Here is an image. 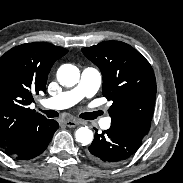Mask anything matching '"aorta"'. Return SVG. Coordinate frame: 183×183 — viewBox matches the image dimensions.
<instances>
[{
  "mask_svg": "<svg viewBox=\"0 0 183 183\" xmlns=\"http://www.w3.org/2000/svg\"><path fill=\"white\" fill-rule=\"evenodd\" d=\"M79 69L71 64L60 66L57 71V80L62 86L72 87L79 82ZM76 141L88 145L93 140V132L88 127H80L75 132Z\"/></svg>",
  "mask_w": 183,
  "mask_h": 183,
  "instance_id": "762f6f07",
  "label": "aorta"
}]
</instances>
